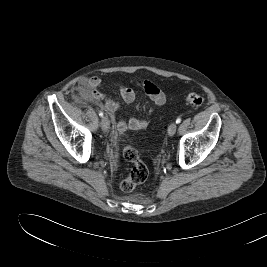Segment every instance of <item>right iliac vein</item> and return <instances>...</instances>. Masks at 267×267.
Instances as JSON below:
<instances>
[{
	"label": "right iliac vein",
	"instance_id": "1",
	"mask_svg": "<svg viewBox=\"0 0 267 267\" xmlns=\"http://www.w3.org/2000/svg\"><path fill=\"white\" fill-rule=\"evenodd\" d=\"M110 127V122H109V119L104 116L102 119H101V128L103 131H107Z\"/></svg>",
	"mask_w": 267,
	"mask_h": 267
}]
</instances>
